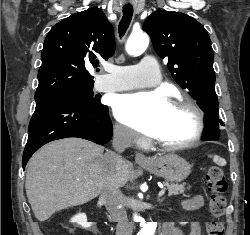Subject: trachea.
I'll list each match as a JSON object with an SVG mask.
<instances>
[{
	"mask_svg": "<svg viewBox=\"0 0 250 235\" xmlns=\"http://www.w3.org/2000/svg\"><path fill=\"white\" fill-rule=\"evenodd\" d=\"M133 16V6L126 5L123 7V16L118 26L119 36L123 37L127 31Z\"/></svg>",
	"mask_w": 250,
	"mask_h": 235,
	"instance_id": "obj_1",
	"label": "trachea"
}]
</instances>
